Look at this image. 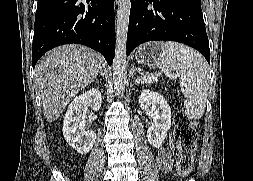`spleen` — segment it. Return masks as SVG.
Masks as SVG:
<instances>
[{
    "label": "spleen",
    "instance_id": "obj_1",
    "mask_svg": "<svg viewBox=\"0 0 253 181\" xmlns=\"http://www.w3.org/2000/svg\"><path fill=\"white\" fill-rule=\"evenodd\" d=\"M161 62L158 67L168 76L180 80L185 100V112L189 118L203 116L209 90V66L196 50L181 43H160Z\"/></svg>",
    "mask_w": 253,
    "mask_h": 181
}]
</instances>
